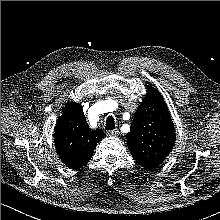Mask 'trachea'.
<instances>
[{"instance_id": "trachea-1", "label": "trachea", "mask_w": 220, "mask_h": 220, "mask_svg": "<svg viewBox=\"0 0 220 220\" xmlns=\"http://www.w3.org/2000/svg\"><path fill=\"white\" fill-rule=\"evenodd\" d=\"M114 129H115L114 118L112 116H108L106 119L105 130H114Z\"/></svg>"}]
</instances>
